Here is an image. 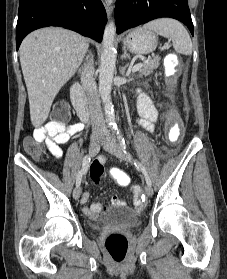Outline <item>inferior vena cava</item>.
Returning a JSON list of instances; mask_svg holds the SVG:
<instances>
[{
  "instance_id": "602c4592",
  "label": "inferior vena cava",
  "mask_w": 227,
  "mask_h": 279,
  "mask_svg": "<svg viewBox=\"0 0 227 279\" xmlns=\"http://www.w3.org/2000/svg\"><path fill=\"white\" fill-rule=\"evenodd\" d=\"M81 83L88 97V108L93 134L106 133L97 86L94 80L93 57L87 59V64L81 72Z\"/></svg>"
}]
</instances>
